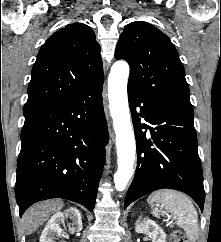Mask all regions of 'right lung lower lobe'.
I'll return each mask as SVG.
<instances>
[{
    "label": "right lung lower lobe",
    "mask_w": 221,
    "mask_h": 242,
    "mask_svg": "<svg viewBox=\"0 0 221 242\" xmlns=\"http://www.w3.org/2000/svg\"><path fill=\"white\" fill-rule=\"evenodd\" d=\"M103 82L100 77L63 102L24 112L15 184L20 216L50 198L94 208L108 140Z\"/></svg>",
    "instance_id": "1"
}]
</instances>
